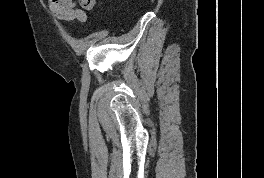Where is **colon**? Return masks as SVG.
Returning <instances> with one entry per match:
<instances>
[{"label":"colon","mask_w":264,"mask_h":178,"mask_svg":"<svg viewBox=\"0 0 264 178\" xmlns=\"http://www.w3.org/2000/svg\"><path fill=\"white\" fill-rule=\"evenodd\" d=\"M95 0H81L82 4L84 7H88L91 5L92 2H94Z\"/></svg>","instance_id":"colon-1"}]
</instances>
